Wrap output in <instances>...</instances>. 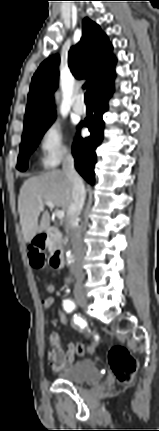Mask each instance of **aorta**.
<instances>
[{
    "label": "aorta",
    "mask_w": 159,
    "mask_h": 431,
    "mask_svg": "<svg viewBox=\"0 0 159 431\" xmlns=\"http://www.w3.org/2000/svg\"><path fill=\"white\" fill-rule=\"evenodd\" d=\"M67 258H68V259H71V258H72V255H71V252H70V251H67Z\"/></svg>",
    "instance_id": "obj_1"
}]
</instances>
